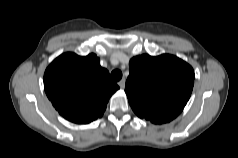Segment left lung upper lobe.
Masks as SVG:
<instances>
[{
    "instance_id": "obj_1",
    "label": "left lung upper lobe",
    "mask_w": 238,
    "mask_h": 158,
    "mask_svg": "<svg viewBox=\"0 0 238 158\" xmlns=\"http://www.w3.org/2000/svg\"><path fill=\"white\" fill-rule=\"evenodd\" d=\"M125 92L140 118L154 124L170 122L184 109L194 85V70L180 58L144 54L130 60Z\"/></svg>"
}]
</instances>
